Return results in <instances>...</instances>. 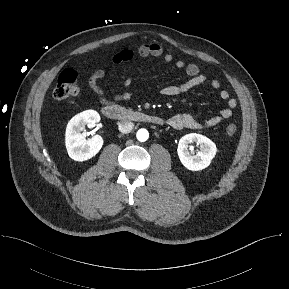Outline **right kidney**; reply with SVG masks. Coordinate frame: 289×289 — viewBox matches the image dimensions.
<instances>
[{"mask_svg":"<svg viewBox=\"0 0 289 289\" xmlns=\"http://www.w3.org/2000/svg\"><path fill=\"white\" fill-rule=\"evenodd\" d=\"M100 121V115L94 110H87L74 116L67 124L65 145L68 155L75 161H86L94 157L103 146V138L94 135L86 139L82 133L85 126H94Z\"/></svg>","mask_w":289,"mask_h":289,"instance_id":"1","label":"right kidney"}]
</instances>
